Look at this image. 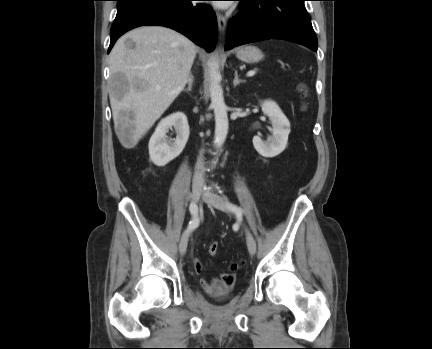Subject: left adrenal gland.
<instances>
[{"instance_id":"a2214340","label":"left adrenal gland","mask_w":432,"mask_h":349,"mask_svg":"<svg viewBox=\"0 0 432 349\" xmlns=\"http://www.w3.org/2000/svg\"><path fill=\"white\" fill-rule=\"evenodd\" d=\"M244 82H245L244 80H241V79L238 78V73H237V71H235V78H234V81H233L234 87H236L240 83H244Z\"/></svg>"}]
</instances>
